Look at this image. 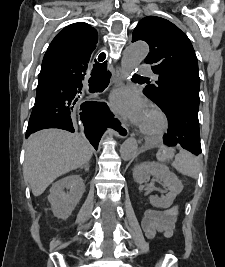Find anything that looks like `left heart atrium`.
<instances>
[{"mask_svg":"<svg viewBox=\"0 0 225 267\" xmlns=\"http://www.w3.org/2000/svg\"><path fill=\"white\" fill-rule=\"evenodd\" d=\"M112 107L125 119L142 127L148 114L144 98L129 88H120L110 96Z\"/></svg>","mask_w":225,"mask_h":267,"instance_id":"1","label":"left heart atrium"}]
</instances>
